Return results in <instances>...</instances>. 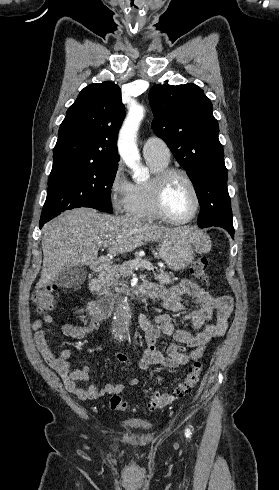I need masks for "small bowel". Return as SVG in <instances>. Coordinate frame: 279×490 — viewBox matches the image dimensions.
Returning <instances> with one entry per match:
<instances>
[{"label": "small bowel", "instance_id": "1", "mask_svg": "<svg viewBox=\"0 0 279 490\" xmlns=\"http://www.w3.org/2000/svg\"><path fill=\"white\" fill-rule=\"evenodd\" d=\"M141 292L161 302L162 306L173 313L179 314L175 319L167 313L153 316L140 314L138 324L143 331L146 348L141 360V368L148 369L159 365L164 367H177L189 360L200 358L206 345L215 338L223 337L229 327V317L233 311V301L228 296H214L201 288L192 280L184 279L169 288L162 285L146 284L141 287ZM184 297L191 299L196 309L188 310L184 304ZM215 314V321L211 322ZM181 321H190L191 330L178 328ZM54 322L52 315L45 314L32 322L34 340L36 346L48 365L53 368L64 382L65 388L80 399L98 400L108 394H118L128 386H135L139 380L133 378L127 383H109L98 389L89 367L81 366L70 371L68 360L73 353L68 348H63L56 355L46 337L45 325ZM99 321L93 320L85 325H62V332L76 340H85L99 331ZM161 335H173L175 343L168 346L166 354H162L156 347V341ZM191 349L186 353L184 347ZM117 359L126 367L130 363L123 354H117ZM79 381L90 382L84 388Z\"/></svg>", "mask_w": 279, "mask_h": 490}]
</instances>
